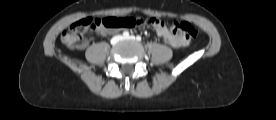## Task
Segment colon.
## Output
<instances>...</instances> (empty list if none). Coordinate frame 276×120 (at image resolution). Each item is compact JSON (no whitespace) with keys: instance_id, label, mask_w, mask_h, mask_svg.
I'll return each mask as SVG.
<instances>
[{"instance_id":"1","label":"colon","mask_w":276,"mask_h":120,"mask_svg":"<svg viewBox=\"0 0 276 120\" xmlns=\"http://www.w3.org/2000/svg\"><path fill=\"white\" fill-rule=\"evenodd\" d=\"M157 18L140 17H106V18H85L72 24L61 35L62 42L69 47L77 46L82 34L89 29L115 30L120 28H133L142 25H152L159 23ZM173 35H182L185 39L196 38L197 28L189 22H174L170 26Z\"/></svg>"}]
</instances>
